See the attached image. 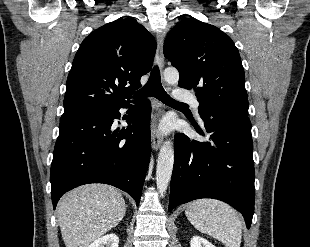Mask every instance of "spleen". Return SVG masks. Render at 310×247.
<instances>
[{"mask_svg":"<svg viewBox=\"0 0 310 247\" xmlns=\"http://www.w3.org/2000/svg\"><path fill=\"white\" fill-rule=\"evenodd\" d=\"M185 214L198 231L221 241L225 247H240L242 223L228 204L215 199H200L189 203Z\"/></svg>","mask_w":310,"mask_h":247,"instance_id":"3e777b00","label":"spleen"}]
</instances>
